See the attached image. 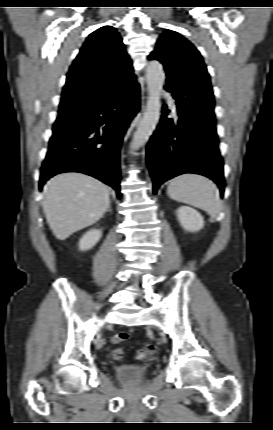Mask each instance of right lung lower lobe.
I'll use <instances>...</instances> for the list:
<instances>
[{
  "label": "right lung lower lobe",
  "mask_w": 273,
  "mask_h": 430,
  "mask_svg": "<svg viewBox=\"0 0 273 430\" xmlns=\"http://www.w3.org/2000/svg\"><path fill=\"white\" fill-rule=\"evenodd\" d=\"M101 95L84 108L79 124L53 132L41 167L40 189L56 174L80 172L112 186L121 197L120 146L139 109L140 89L135 84ZM103 124L106 126L100 130Z\"/></svg>",
  "instance_id": "obj_1"
}]
</instances>
